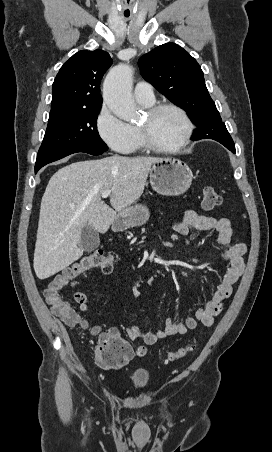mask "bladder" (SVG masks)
I'll return each instance as SVG.
<instances>
[{"instance_id":"obj_1","label":"bladder","mask_w":272,"mask_h":452,"mask_svg":"<svg viewBox=\"0 0 272 452\" xmlns=\"http://www.w3.org/2000/svg\"><path fill=\"white\" fill-rule=\"evenodd\" d=\"M131 383L136 388H144L150 381V373L146 369H134L130 375Z\"/></svg>"}]
</instances>
